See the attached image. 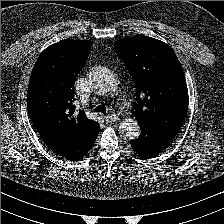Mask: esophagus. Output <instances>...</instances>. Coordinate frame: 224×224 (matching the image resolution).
I'll return each mask as SVG.
<instances>
[{
	"label": "esophagus",
	"mask_w": 224,
	"mask_h": 224,
	"mask_svg": "<svg viewBox=\"0 0 224 224\" xmlns=\"http://www.w3.org/2000/svg\"><path fill=\"white\" fill-rule=\"evenodd\" d=\"M117 119H118V116L115 115V114H111V115H108V116L105 117V120H106L107 122H112V121H115V120H117Z\"/></svg>",
	"instance_id": "obj_1"
}]
</instances>
